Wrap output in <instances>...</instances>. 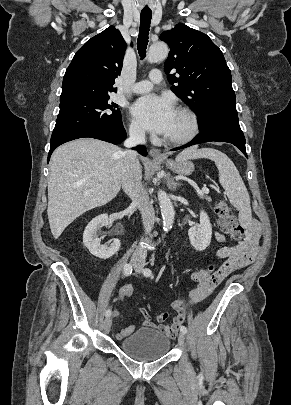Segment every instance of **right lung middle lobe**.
<instances>
[{"mask_svg": "<svg viewBox=\"0 0 291 405\" xmlns=\"http://www.w3.org/2000/svg\"><path fill=\"white\" fill-rule=\"evenodd\" d=\"M110 96L76 98L60 101V111L51 141L84 129H110L122 124L118 105Z\"/></svg>", "mask_w": 291, "mask_h": 405, "instance_id": "1", "label": "right lung middle lobe"}]
</instances>
